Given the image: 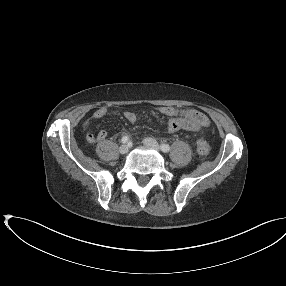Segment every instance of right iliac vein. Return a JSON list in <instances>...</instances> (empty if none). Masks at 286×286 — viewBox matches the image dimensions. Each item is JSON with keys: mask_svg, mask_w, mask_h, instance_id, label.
I'll list each match as a JSON object with an SVG mask.
<instances>
[{"mask_svg": "<svg viewBox=\"0 0 286 286\" xmlns=\"http://www.w3.org/2000/svg\"><path fill=\"white\" fill-rule=\"evenodd\" d=\"M129 150V147L127 145H121L120 148H119V152L121 154H126Z\"/></svg>", "mask_w": 286, "mask_h": 286, "instance_id": "obj_1", "label": "right iliac vein"}]
</instances>
